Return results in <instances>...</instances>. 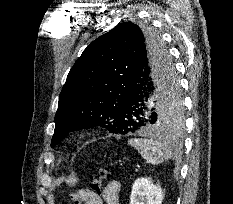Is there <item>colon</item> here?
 <instances>
[{"label":"colon","mask_w":233,"mask_h":204,"mask_svg":"<svg viewBox=\"0 0 233 204\" xmlns=\"http://www.w3.org/2000/svg\"><path fill=\"white\" fill-rule=\"evenodd\" d=\"M111 177V169L108 165H101L94 173L92 180L89 184L88 192L94 196L98 197L102 194L103 184L108 181ZM72 198L76 204L80 203L81 196L79 192H75Z\"/></svg>","instance_id":"colon-1"}]
</instances>
